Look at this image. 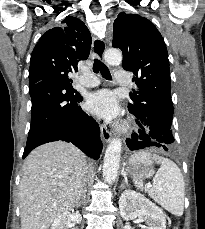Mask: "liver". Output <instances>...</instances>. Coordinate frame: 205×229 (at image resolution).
Returning <instances> with one entry per match:
<instances>
[{"label":"liver","mask_w":205,"mask_h":229,"mask_svg":"<svg viewBox=\"0 0 205 229\" xmlns=\"http://www.w3.org/2000/svg\"><path fill=\"white\" fill-rule=\"evenodd\" d=\"M88 170L86 156L74 145L50 142L26 158L19 186L21 229H48L81 199Z\"/></svg>","instance_id":"liver-1"}]
</instances>
